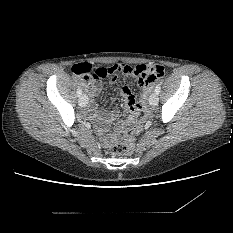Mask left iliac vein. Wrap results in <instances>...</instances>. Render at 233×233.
<instances>
[{"mask_svg":"<svg viewBox=\"0 0 233 233\" xmlns=\"http://www.w3.org/2000/svg\"><path fill=\"white\" fill-rule=\"evenodd\" d=\"M149 103L152 106H155L158 104V94L156 92H153L149 97Z\"/></svg>","mask_w":233,"mask_h":233,"instance_id":"obj_1","label":"left iliac vein"}]
</instances>
